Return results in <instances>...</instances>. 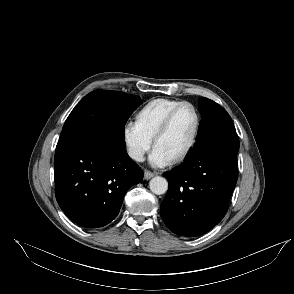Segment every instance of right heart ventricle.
Listing matches in <instances>:
<instances>
[{
  "mask_svg": "<svg viewBox=\"0 0 294 294\" xmlns=\"http://www.w3.org/2000/svg\"><path fill=\"white\" fill-rule=\"evenodd\" d=\"M181 101L156 98L145 103L136 113L135 119L140 129L151 139L167 113Z\"/></svg>",
  "mask_w": 294,
  "mask_h": 294,
  "instance_id": "right-heart-ventricle-1",
  "label": "right heart ventricle"
}]
</instances>
